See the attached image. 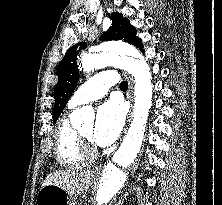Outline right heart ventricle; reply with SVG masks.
Listing matches in <instances>:
<instances>
[{
	"instance_id": "1",
	"label": "right heart ventricle",
	"mask_w": 222,
	"mask_h": 205,
	"mask_svg": "<svg viewBox=\"0 0 222 205\" xmlns=\"http://www.w3.org/2000/svg\"><path fill=\"white\" fill-rule=\"evenodd\" d=\"M55 157L59 164L71 168L82 167L87 161L68 113L61 118L56 129Z\"/></svg>"
}]
</instances>
